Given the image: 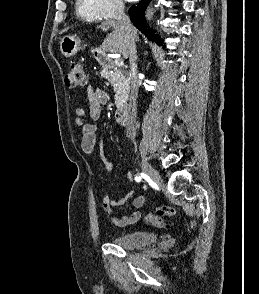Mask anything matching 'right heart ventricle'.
<instances>
[{"instance_id": "right-heart-ventricle-1", "label": "right heart ventricle", "mask_w": 259, "mask_h": 294, "mask_svg": "<svg viewBox=\"0 0 259 294\" xmlns=\"http://www.w3.org/2000/svg\"><path fill=\"white\" fill-rule=\"evenodd\" d=\"M76 13L84 20L97 21L100 19L93 0H76Z\"/></svg>"}]
</instances>
